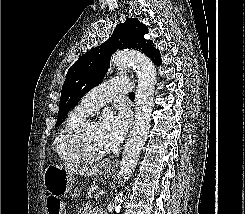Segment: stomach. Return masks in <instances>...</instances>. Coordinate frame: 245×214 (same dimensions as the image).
<instances>
[{
    "label": "stomach",
    "mask_w": 245,
    "mask_h": 214,
    "mask_svg": "<svg viewBox=\"0 0 245 214\" xmlns=\"http://www.w3.org/2000/svg\"><path fill=\"white\" fill-rule=\"evenodd\" d=\"M113 170H106L105 175L111 176ZM43 182L46 190L52 195H65L71 193V196L77 197L80 190L74 187L75 179L72 172L59 165H49L43 174Z\"/></svg>",
    "instance_id": "obj_1"
}]
</instances>
